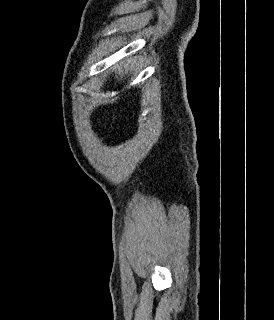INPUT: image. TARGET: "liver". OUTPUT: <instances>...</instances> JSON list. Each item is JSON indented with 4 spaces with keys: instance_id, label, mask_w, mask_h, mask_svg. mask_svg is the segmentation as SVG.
Instances as JSON below:
<instances>
[{
    "instance_id": "1",
    "label": "liver",
    "mask_w": 274,
    "mask_h": 320,
    "mask_svg": "<svg viewBox=\"0 0 274 320\" xmlns=\"http://www.w3.org/2000/svg\"><path fill=\"white\" fill-rule=\"evenodd\" d=\"M134 64V62H136V60H128V64ZM119 68V64H114V66H112V72L113 70H118ZM133 68H135V66H128V70H125V72H117V74H120L121 78H123L124 74L125 76H128V72H130V70H133ZM120 78H118V82H119Z\"/></svg>"
}]
</instances>
